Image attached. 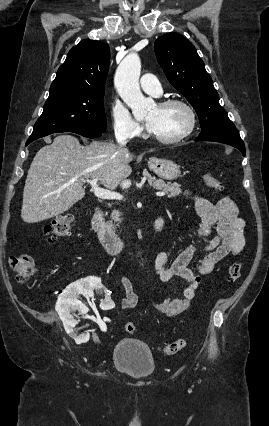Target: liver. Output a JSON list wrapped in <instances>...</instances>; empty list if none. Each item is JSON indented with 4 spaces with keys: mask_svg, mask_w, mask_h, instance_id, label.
Listing matches in <instances>:
<instances>
[{
    "mask_svg": "<svg viewBox=\"0 0 269 426\" xmlns=\"http://www.w3.org/2000/svg\"><path fill=\"white\" fill-rule=\"evenodd\" d=\"M128 149L112 142L92 141L88 146L68 134L42 147L28 170L21 218L37 223L68 211L85 196L83 181L98 179L115 190L132 169Z\"/></svg>",
    "mask_w": 269,
    "mask_h": 426,
    "instance_id": "obj_1",
    "label": "liver"
}]
</instances>
